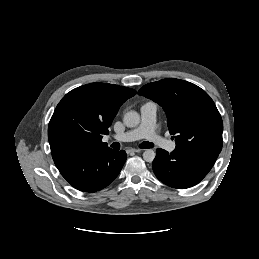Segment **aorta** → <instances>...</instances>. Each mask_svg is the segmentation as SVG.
Segmentation results:
<instances>
[{"instance_id":"aorta-1","label":"aorta","mask_w":259,"mask_h":259,"mask_svg":"<svg viewBox=\"0 0 259 259\" xmlns=\"http://www.w3.org/2000/svg\"><path fill=\"white\" fill-rule=\"evenodd\" d=\"M123 122L127 127H136L140 123V115L136 111H129L124 115ZM155 156L153 149H146L143 153V159L146 162H152Z\"/></svg>"}]
</instances>
